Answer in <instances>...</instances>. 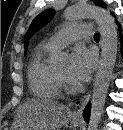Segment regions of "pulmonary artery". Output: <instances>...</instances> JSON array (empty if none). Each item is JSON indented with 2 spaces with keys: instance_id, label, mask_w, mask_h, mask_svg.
<instances>
[{
  "instance_id": "e3ab8cb5",
  "label": "pulmonary artery",
  "mask_w": 123,
  "mask_h": 130,
  "mask_svg": "<svg viewBox=\"0 0 123 130\" xmlns=\"http://www.w3.org/2000/svg\"><path fill=\"white\" fill-rule=\"evenodd\" d=\"M90 36V25L71 24L51 36L47 43L55 49H60L74 41H77L81 38H88Z\"/></svg>"
}]
</instances>
